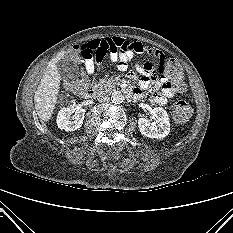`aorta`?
I'll list each match as a JSON object with an SVG mask.
<instances>
[{"label": "aorta", "instance_id": "aorta-1", "mask_svg": "<svg viewBox=\"0 0 233 233\" xmlns=\"http://www.w3.org/2000/svg\"><path fill=\"white\" fill-rule=\"evenodd\" d=\"M124 100V96L120 91H114L111 94V101L114 104H121Z\"/></svg>", "mask_w": 233, "mask_h": 233}]
</instances>
